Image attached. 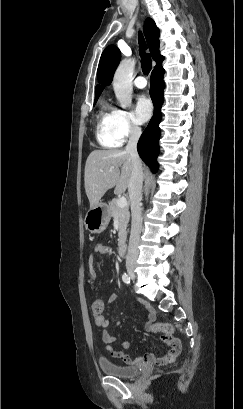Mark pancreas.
<instances>
[{
	"label": "pancreas",
	"mask_w": 243,
	"mask_h": 409,
	"mask_svg": "<svg viewBox=\"0 0 243 409\" xmlns=\"http://www.w3.org/2000/svg\"><path fill=\"white\" fill-rule=\"evenodd\" d=\"M117 200L116 198H114L111 202H110V209H111V216L115 219L118 220V227H119V231H118V236H119V243H122L126 240V236H127V225L130 219V213H129V206L127 204V206L125 207H118L117 205Z\"/></svg>",
	"instance_id": "cf45deb5"
}]
</instances>
